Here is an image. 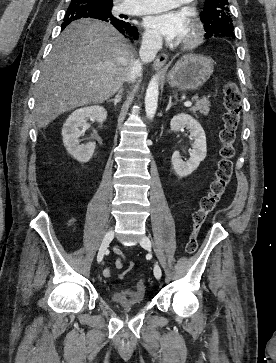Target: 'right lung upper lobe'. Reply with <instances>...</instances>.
Returning a JSON list of instances; mask_svg holds the SVG:
<instances>
[{
	"mask_svg": "<svg viewBox=\"0 0 276 363\" xmlns=\"http://www.w3.org/2000/svg\"><path fill=\"white\" fill-rule=\"evenodd\" d=\"M96 1H100V2H104V3H107V4H112L113 5V0H96ZM110 20H115L116 22L123 21V20H119V19H116V18H113V19H110Z\"/></svg>",
	"mask_w": 276,
	"mask_h": 363,
	"instance_id": "right-lung-upper-lobe-1",
	"label": "right lung upper lobe"
}]
</instances>
